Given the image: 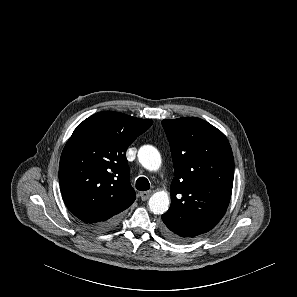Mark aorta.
<instances>
[{"label": "aorta", "instance_id": "aorta-1", "mask_svg": "<svg viewBox=\"0 0 297 297\" xmlns=\"http://www.w3.org/2000/svg\"><path fill=\"white\" fill-rule=\"evenodd\" d=\"M141 165L149 171H157L161 166V156L158 150L151 145H144L138 151ZM150 211L154 214H163L168 210L169 196L165 191L154 193L148 202Z\"/></svg>", "mask_w": 297, "mask_h": 297}]
</instances>
